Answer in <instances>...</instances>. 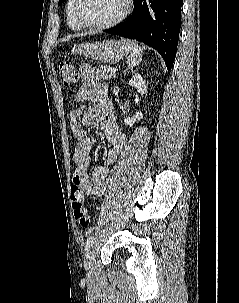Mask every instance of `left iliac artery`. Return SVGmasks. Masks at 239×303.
Returning <instances> with one entry per match:
<instances>
[{
  "label": "left iliac artery",
  "instance_id": "left-iliac-artery-1",
  "mask_svg": "<svg viewBox=\"0 0 239 303\" xmlns=\"http://www.w3.org/2000/svg\"><path fill=\"white\" fill-rule=\"evenodd\" d=\"M94 243V237L93 236H89L86 240V246L85 249L88 250Z\"/></svg>",
  "mask_w": 239,
  "mask_h": 303
}]
</instances>
